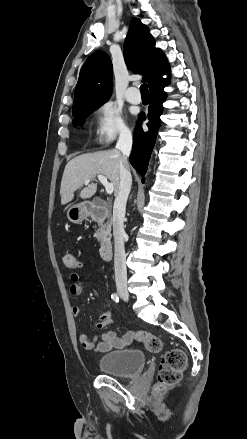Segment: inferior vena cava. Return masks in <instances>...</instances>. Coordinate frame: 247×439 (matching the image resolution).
Segmentation results:
<instances>
[{
  "instance_id": "1",
  "label": "inferior vena cava",
  "mask_w": 247,
  "mask_h": 439,
  "mask_svg": "<svg viewBox=\"0 0 247 439\" xmlns=\"http://www.w3.org/2000/svg\"><path fill=\"white\" fill-rule=\"evenodd\" d=\"M116 148L121 151L120 160V186L113 206V236L115 244L114 268L117 289L127 288L126 254L124 240V218L126 203L131 190L132 177L127 161L132 149V135L130 131H122Z\"/></svg>"
}]
</instances>
